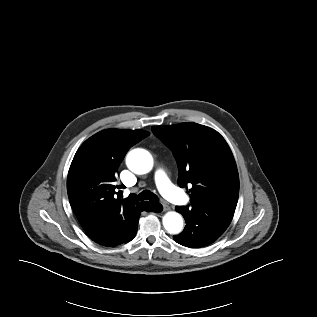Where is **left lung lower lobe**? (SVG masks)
I'll return each mask as SVG.
<instances>
[{"label": "left lung lower lobe", "instance_id": "1", "mask_svg": "<svg viewBox=\"0 0 317 317\" xmlns=\"http://www.w3.org/2000/svg\"><path fill=\"white\" fill-rule=\"evenodd\" d=\"M176 211L185 219L186 226L173 239L186 247L199 248L207 246L217 240L229 226L234 211L199 205L195 207L180 206Z\"/></svg>", "mask_w": 317, "mask_h": 317}]
</instances>
